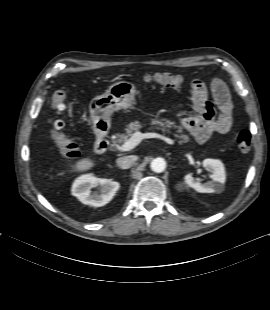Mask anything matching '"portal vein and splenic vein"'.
Listing matches in <instances>:
<instances>
[{"mask_svg": "<svg viewBox=\"0 0 270 310\" xmlns=\"http://www.w3.org/2000/svg\"><path fill=\"white\" fill-rule=\"evenodd\" d=\"M145 138H160L167 142L170 145L174 144V141L168 137H165L158 133H141L139 131H136L133 133L131 138L127 140L123 145L118 147V150L120 152H127L135 148L143 139Z\"/></svg>", "mask_w": 270, "mask_h": 310, "instance_id": "18ae733b", "label": "portal vein and splenic vein"}]
</instances>
